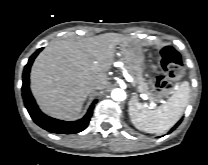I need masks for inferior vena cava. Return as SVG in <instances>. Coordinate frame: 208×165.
<instances>
[{"mask_svg":"<svg viewBox=\"0 0 208 165\" xmlns=\"http://www.w3.org/2000/svg\"><path fill=\"white\" fill-rule=\"evenodd\" d=\"M87 90L90 92V91H93V90H99V86L97 85H90L87 87Z\"/></svg>","mask_w":208,"mask_h":165,"instance_id":"inferior-vena-cava-1","label":"inferior vena cava"}]
</instances>
